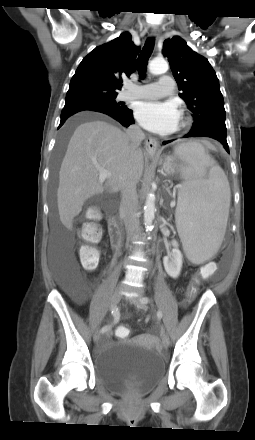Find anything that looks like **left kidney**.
Returning a JSON list of instances; mask_svg holds the SVG:
<instances>
[{
    "mask_svg": "<svg viewBox=\"0 0 255 440\" xmlns=\"http://www.w3.org/2000/svg\"><path fill=\"white\" fill-rule=\"evenodd\" d=\"M171 244L173 246L172 252L163 258V264L167 274L172 278H177L182 268V254L176 240H172Z\"/></svg>",
    "mask_w": 255,
    "mask_h": 440,
    "instance_id": "obj_1",
    "label": "left kidney"
}]
</instances>
